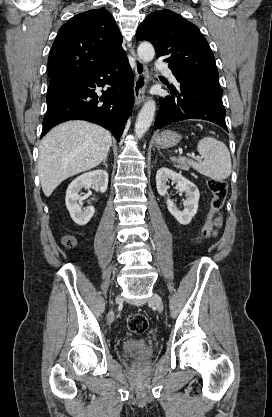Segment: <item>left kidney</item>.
Listing matches in <instances>:
<instances>
[{
	"label": "left kidney",
	"mask_w": 272,
	"mask_h": 417,
	"mask_svg": "<svg viewBox=\"0 0 272 417\" xmlns=\"http://www.w3.org/2000/svg\"><path fill=\"white\" fill-rule=\"evenodd\" d=\"M176 183V188L180 192H184L186 200L183 201L185 206L183 210H179L171 199H167V207L174 218L182 225H187L191 222L198 210V202L200 193L194 183L186 179L180 173L172 171L168 168L162 167L156 174V186L159 195L165 196L169 188L168 181Z\"/></svg>",
	"instance_id": "obj_1"
}]
</instances>
